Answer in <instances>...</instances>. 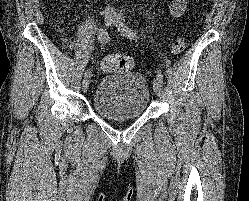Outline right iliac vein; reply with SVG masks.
I'll use <instances>...</instances> for the list:
<instances>
[{"instance_id": "obj_1", "label": "right iliac vein", "mask_w": 249, "mask_h": 201, "mask_svg": "<svg viewBox=\"0 0 249 201\" xmlns=\"http://www.w3.org/2000/svg\"><path fill=\"white\" fill-rule=\"evenodd\" d=\"M114 20H115V13L112 10L107 9L105 11V23H106V26H111L114 23ZM89 83H90L89 78L84 77V79L82 81V90L84 92H86L88 90Z\"/></svg>"}]
</instances>
